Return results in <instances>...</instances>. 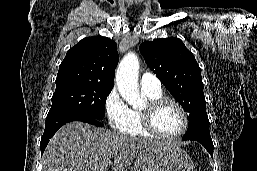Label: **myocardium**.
I'll use <instances>...</instances> for the list:
<instances>
[{"label":"myocardium","mask_w":257,"mask_h":171,"mask_svg":"<svg viewBox=\"0 0 257 171\" xmlns=\"http://www.w3.org/2000/svg\"><path fill=\"white\" fill-rule=\"evenodd\" d=\"M166 104H171L174 107H176L178 109V111L180 112L182 119H183V126H182L181 130L178 133L173 134V135H166V134L159 132L154 125V115H155L156 111L160 107H162L163 105H166ZM140 110H141L143 128L146 130V132H148L150 135H152L154 137H157L160 139H166V140H173V139H177V138H180L181 136H183L188 129L189 120H188L187 113H186L185 109L182 107V105L174 99L162 96L157 99L148 100L146 102V104L144 105V107H142Z\"/></svg>","instance_id":"obj_1"}]
</instances>
